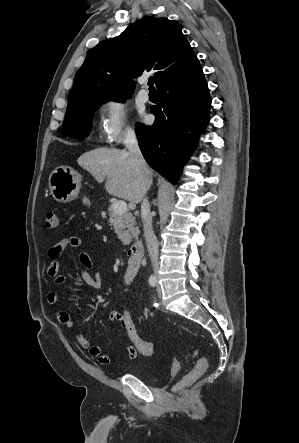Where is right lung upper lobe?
<instances>
[{"instance_id":"obj_1","label":"right lung upper lobe","mask_w":299,"mask_h":443,"mask_svg":"<svg viewBox=\"0 0 299 443\" xmlns=\"http://www.w3.org/2000/svg\"><path fill=\"white\" fill-rule=\"evenodd\" d=\"M199 67L189 42L171 20L146 17L89 51L76 75L67 108L129 95L136 84L132 79L144 71L154 72L158 87Z\"/></svg>"}]
</instances>
